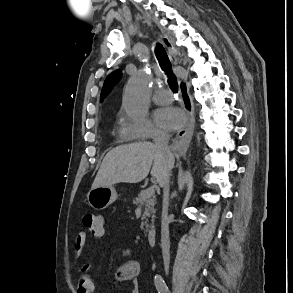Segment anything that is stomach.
<instances>
[{
  "instance_id": "stomach-1",
  "label": "stomach",
  "mask_w": 293,
  "mask_h": 293,
  "mask_svg": "<svg viewBox=\"0 0 293 293\" xmlns=\"http://www.w3.org/2000/svg\"><path fill=\"white\" fill-rule=\"evenodd\" d=\"M117 199L115 189L111 187H96L89 191L87 200L89 205L96 210H103Z\"/></svg>"
}]
</instances>
